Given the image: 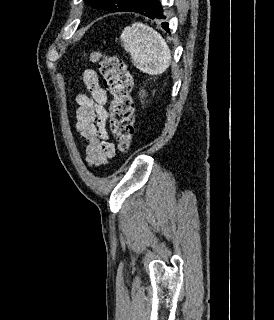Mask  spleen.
I'll list each match as a JSON object with an SVG mask.
<instances>
[{
  "label": "spleen",
  "mask_w": 274,
  "mask_h": 320,
  "mask_svg": "<svg viewBox=\"0 0 274 320\" xmlns=\"http://www.w3.org/2000/svg\"><path fill=\"white\" fill-rule=\"evenodd\" d=\"M120 40L134 66L149 76H159L170 66L171 54L162 36L146 24L135 22L124 28Z\"/></svg>",
  "instance_id": "3e777b00"
}]
</instances>
